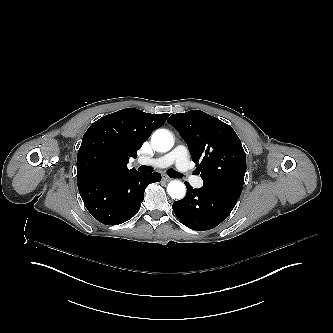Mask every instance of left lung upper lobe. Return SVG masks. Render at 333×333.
Returning a JSON list of instances; mask_svg holds the SVG:
<instances>
[{
	"instance_id": "left-lung-upper-lobe-1",
	"label": "left lung upper lobe",
	"mask_w": 333,
	"mask_h": 333,
	"mask_svg": "<svg viewBox=\"0 0 333 333\" xmlns=\"http://www.w3.org/2000/svg\"><path fill=\"white\" fill-rule=\"evenodd\" d=\"M167 122L187 143L203 187L241 194L246 154L231 126L199 110L173 114Z\"/></svg>"
}]
</instances>
